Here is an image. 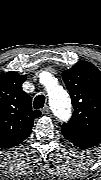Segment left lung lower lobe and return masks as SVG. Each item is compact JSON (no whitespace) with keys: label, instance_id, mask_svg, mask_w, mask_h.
<instances>
[{"label":"left lung lower lobe","instance_id":"1","mask_svg":"<svg viewBox=\"0 0 101 180\" xmlns=\"http://www.w3.org/2000/svg\"><path fill=\"white\" fill-rule=\"evenodd\" d=\"M75 146L79 147L80 149H88V148H91L93 146H90V145H86V144H83V143H79V142H72Z\"/></svg>","mask_w":101,"mask_h":180}]
</instances>
